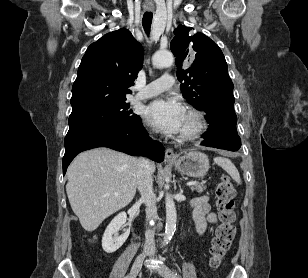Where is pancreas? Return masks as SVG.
<instances>
[{"label":"pancreas","mask_w":308,"mask_h":278,"mask_svg":"<svg viewBox=\"0 0 308 278\" xmlns=\"http://www.w3.org/2000/svg\"><path fill=\"white\" fill-rule=\"evenodd\" d=\"M206 189V186L203 184H197L194 186H191L192 191H197L198 193H202Z\"/></svg>","instance_id":"cf45deb5"}]
</instances>
